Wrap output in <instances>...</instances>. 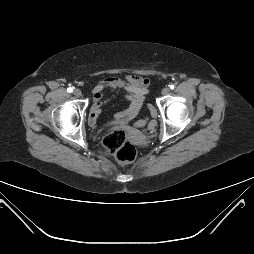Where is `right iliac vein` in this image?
I'll use <instances>...</instances> for the list:
<instances>
[{
  "mask_svg": "<svg viewBox=\"0 0 254 254\" xmlns=\"http://www.w3.org/2000/svg\"><path fill=\"white\" fill-rule=\"evenodd\" d=\"M73 93H74V95H75L76 97H81V96H82V92H81L80 89H75Z\"/></svg>",
  "mask_w": 254,
  "mask_h": 254,
  "instance_id": "1",
  "label": "right iliac vein"
}]
</instances>
